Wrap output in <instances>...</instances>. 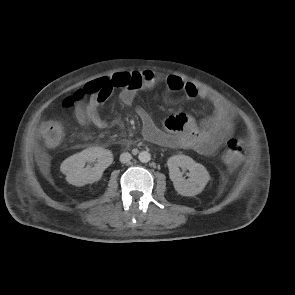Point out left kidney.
Wrapping results in <instances>:
<instances>
[{"instance_id":"left-kidney-1","label":"left kidney","mask_w":295,"mask_h":295,"mask_svg":"<svg viewBox=\"0 0 295 295\" xmlns=\"http://www.w3.org/2000/svg\"><path fill=\"white\" fill-rule=\"evenodd\" d=\"M169 177L175 190L183 196H195L203 191L210 180L206 168L185 155H174L167 161ZM179 167L189 170V178L184 179Z\"/></svg>"}]
</instances>
